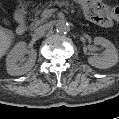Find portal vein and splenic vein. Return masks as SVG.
<instances>
[{
	"label": "portal vein and splenic vein",
	"mask_w": 119,
	"mask_h": 119,
	"mask_svg": "<svg viewBox=\"0 0 119 119\" xmlns=\"http://www.w3.org/2000/svg\"><path fill=\"white\" fill-rule=\"evenodd\" d=\"M56 11V9H46L43 11L42 16L44 18H49L52 16V14Z\"/></svg>",
	"instance_id": "1"
}]
</instances>
